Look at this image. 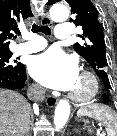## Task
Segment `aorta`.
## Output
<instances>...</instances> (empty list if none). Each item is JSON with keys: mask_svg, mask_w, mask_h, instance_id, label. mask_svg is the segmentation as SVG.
<instances>
[{"mask_svg": "<svg viewBox=\"0 0 117 136\" xmlns=\"http://www.w3.org/2000/svg\"><path fill=\"white\" fill-rule=\"evenodd\" d=\"M50 16L56 22L66 21L69 17V9L63 4H56L50 9ZM70 115V104L67 100H61L57 104L54 113V125L56 130L62 129Z\"/></svg>", "mask_w": 117, "mask_h": 136, "instance_id": "aorta-1", "label": "aorta"}]
</instances>
